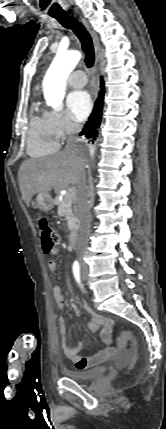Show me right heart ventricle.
Returning <instances> with one entry per match:
<instances>
[{"instance_id":"right-heart-ventricle-1","label":"right heart ventricle","mask_w":166,"mask_h":429,"mask_svg":"<svg viewBox=\"0 0 166 429\" xmlns=\"http://www.w3.org/2000/svg\"><path fill=\"white\" fill-rule=\"evenodd\" d=\"M58 148V139L50 129L45 113H40L38 105L34 104L27 138L28 153L33 157H40L53 154Z\"/></svg>"}]
</instances>
